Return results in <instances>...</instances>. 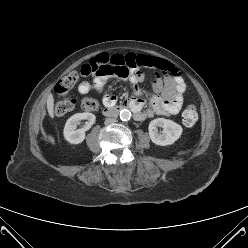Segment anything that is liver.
Wrapping results in <instances>:
<instances>
[{
  "label": "liver",
  "mask_w": 248,
  "mask_h": 248,
  "mask_svg": "<svg viewBox=\"0 0 248 248\" xmlns=\"http://www.w3.org/2000/svg\"><path fill=\"white\" fill-rule=\"evenodd\" d=\"M47 110L50 117L54 118V98L52 94H50L47 99Z\"/></svg>",
  "instance_id": "liver-1"
}]
</instances>
